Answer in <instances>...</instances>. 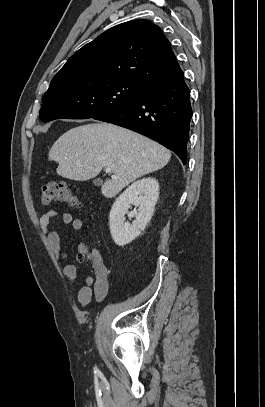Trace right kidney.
<instances>
[{
	"label": "right kidney",
	"instance_id": "right-kidney-1",
	"mask_svg": "<svg viewBox=\"0 0 265 407\" xmlns=\"http://www.w3.org/2000/svg\"><path fill=\"white\" fill-rule=\"evenodd\" d=\"M159 196V184L155 178H143L129 186L114 202L109 225L116 245L124 246L132 242L145 229L151 220ZM134 205L138 210L128 211ZM125 214L135 217L132 224L125 222Z\"/></svg>",
	"mask_w": 265,
	"mask_h": 407
}]
</instances>
